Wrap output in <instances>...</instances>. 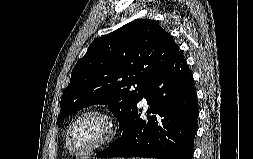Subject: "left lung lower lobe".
<instances>
[{
    "mask_svg": "<svg viewBox=\"0 0 253 159\" xmlns=\"http://www.w3.org/2000/svg\"><path fill=\"white\" fill-rule=\"evenodd\" d=\"M143 98L150 105L147 119L140 118L142 109L136 105L121 127L122 136L98 157L192 159L197 94L193 76L180 51L146 85L140 101Z\"/></svg>",
    "mask_w": 253,
    "mask_h": 159,
    "instance_id": "obj_1",
    "label": "left lung lower lobe"
}]
</instances>
